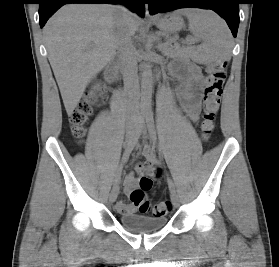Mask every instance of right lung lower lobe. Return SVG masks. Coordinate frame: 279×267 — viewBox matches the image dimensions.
<instances>
[{"instance_id":"1","label":"right lung lower lobe","mask_w":279,"mask_h":267,"mask_svg":"<svg viewBox=\"0 0 279 267\" xmlns=\"http://www.w3.org/2000/svg\"><path fill=\"white\" fill-rule=\"evenodd\" d=\"M39 23L42 28L47 20L64 4L67 3H110L125 4L131 11L144 15V0H40Z\"/></svg>"}]
</instances>
